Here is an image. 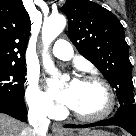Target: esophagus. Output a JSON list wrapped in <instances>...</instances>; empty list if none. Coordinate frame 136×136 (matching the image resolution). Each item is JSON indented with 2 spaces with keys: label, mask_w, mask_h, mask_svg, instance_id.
Returning <instances> with one entry per match:
<instances>
[{
  "label": "esophagus",
  "mask_w": 136,
  "mask_h": 136,
  "mask_svg": "<svg viewBox=\"0 0 136 136\" xmlns=\"http://www.w3.org/2000/svg\"><path fill=\"white\" fill-rule=\"evenodd\" d=\"M52 131L54 133H64L65 132L63 126L60 123H53Z\"/></svg>",
  "instance_id": "1"
}]
</instances>
